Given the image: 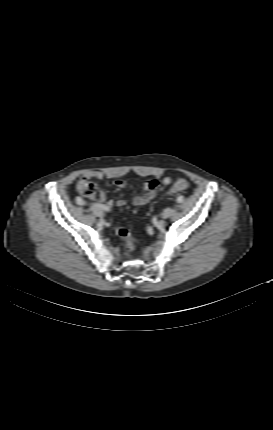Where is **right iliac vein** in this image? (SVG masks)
Listing matches in <instances>:
<instances>
[{"label": "right iliac vein", "instance_id": "obj_1", "mask_svg": "<svg viewBox=\"0 0 273 430\" xmlns=\"http://www.w3.org/2000/svg\"><path fill=\"white\" fill-rule=\"evenodd\" d=\"M93 213L94 215H96L97 217H103L104 213L101 210V208L97 207H92Z\"/></svg>", "mask_w": 273, "mask_h": 430}]
</instances>
